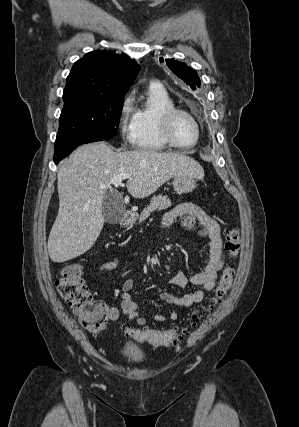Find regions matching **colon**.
<instances>
[{"instance_id": "obj_1", "label": "colon", "mask_w": 299, "mask_h": 427, "mask_svg": "<svg viewBox=\"0 0 299 427\" xmlns=\"http://www.w3.org/2000/svg\"><path fill=\"white\" fill-rule=\"evenodd\" d=\"M225 249L230 258L237 256L240 250V235L236 228H229L225 232ZM234 276V266L228 263L221 274L218 285L209 305L204 308L198 318L210 315L211 310L218 305L228 294ZM56 286L60 296L67 302L73 313L78 317L80 324L93 334L102 332L108 316L106 307L94 300L81 277V267L78 264L65 266L59 274ZM124 331L137 340L148 342L156 346H171L181 342L188 334L187 328L159 331L155 329H136L124 326Z\"/></svg>"}]
</instances>
